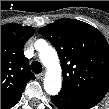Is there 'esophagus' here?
Instances as JSON below:
<instances>
[{
    "label": "esophagus",
    "mask_w": 109,
    "mask_h": 109,
    "mask_svg": "<svg viewBox=\"0 0 109 109\" xmlns=\"http://www.w3.org/2000/svg\"><path fill=\"white\" fill-rule=\"evenodd\" d=\"M44 75H45L44 73H41V74L38 75V78H39L40 80H43Z\"/></svg>",
    "instance_id": "34e87169"
}]
</instances>
